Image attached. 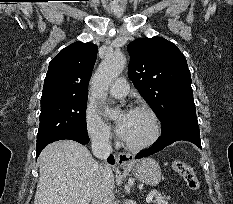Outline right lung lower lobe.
I'll return each instance as SVG.
<instances>
[{
    "mask_svg": "<svg viewBox=\"0 0 233 204\" xmlns=\"http://www.w3.org/2000/svg\"><path fill=\"white\" fill-rule=\"evenodd\" d=\"M62 139H70V140H74V141H77L81 144H87L89 142V137L86 135V136H82V135H66V136H62L58 139H56L55 141H58V140H62ZM54 142V141H53ZM48 144L46 145H43V146H40V147H36L37 148V151H36V157L39 156L40 152L43 150L44 147H46ZM108 162L110 164H114V158L112 155H110V157L108 158Z\"/></svg>",
    "mask_w": 233,
    "mask_h": 204,
    "instance_id": "98d812e1",
    "label": "right lung lower lobe"
}]
</instances>
